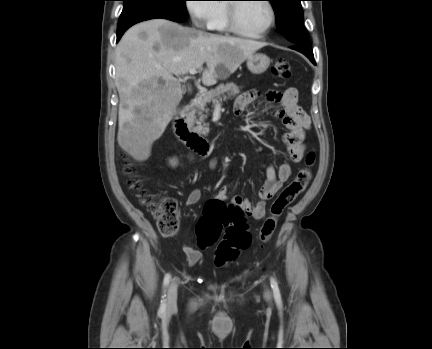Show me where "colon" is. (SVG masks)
Listing matches in <instances>:
<instances>
[{"mask_svg":"<svg viewBox=\"0 0 432 349\" xmlns=\"http://www.w3.org/2000/svg\"><path fill=\"white\" fill-rule=\"evenodd\" d=\"M272 73L280 79L291 77L292 68L285 59L277 60L272 66ZM315 162L314 152H309L305 158L306 166L299 170L293 181L277 196L270 208V213L259 231L262 244L272 237L278 219L286 209L308 186L312 173L311 167ZM124 173L129 177V186L139 192L141 203L153 212L161 234L174 235L179 228L178 203L174 198L158 199L141 186L136 176V170L127 157H123ZM197 240L202 248L212 246L223 232V237L215 251V263L224 266L234 261L240 251L249 247L251 235L245 223V214L240 206L231 203L211 200L205 206L203 217L197 224Z\"/></svg>","mask_w":432,"mask_h":349,"instance_id":"obj_1","label":"colon"}]
</instances>
